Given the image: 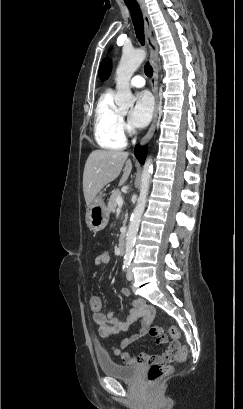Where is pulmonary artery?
I'll list each match as a JSON object with an SVG mask.
<instances>
[{"mask_svg": "<svg viewBox=\"0 0 243 409\" xmlns=\"http://www.w3.org/2000/svg\"><path fill=\"white\" fill-rule=\"evenodd\" d=\"M130 84H131V86H133V87L141 88V87H143L144 84H145V79H144V77L141 76V75H135V76H133V77L131 78Z\"/></svg>", "mask_w": 243, "mask_h": 409, "instance_id": "pulmonary-artery-1", "label": "pulmonary artery"}]
</instances>
